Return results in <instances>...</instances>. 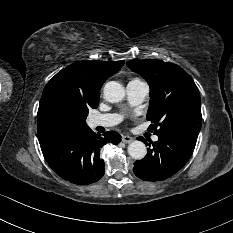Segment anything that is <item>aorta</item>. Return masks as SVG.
<instances>
[{"label": "aorta", "instance_id": "1", "mask_svg": "<svg viewBox=\"0 0 233 233\" xmlns=\"http://www.w3.org/2000/svg\"><path fill=\"white\" fill-rule=\"evenodd\" d=\"M104 97L108 102H120L125 96L124 87L116 81H109L104 86ZM146 145L142 141L135 140L128 146V154L135 160H141L146 156Z\"/></svg>", "mask_w": 233, "mask_h": 233}]
</instances>
